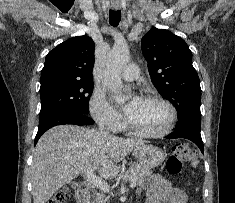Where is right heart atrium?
Masks as SVG:
<instances>
[{"instance_id": "right-heart-atrium-1", "label": "right heart atrium", "mask_w": 235, "mask_h": 203, "mask_svg": "<svg viewBox=\"0 0 235 203\" xmlns=\"http://www.w3.org/2000/svg\"><path fill=\"white\" fill-rule=\"evenodd\" d=\"M89 107L93 118L101 127L113 132L122 127L121 114L108 103L103 92L94 91Z\"/></svg>"}]
</instances>
